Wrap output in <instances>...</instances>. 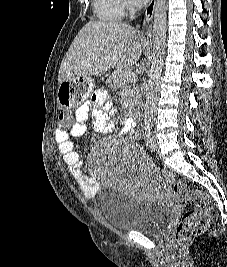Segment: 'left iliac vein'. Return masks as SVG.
Returning a JSON list of instances; mask_svg holds the SVG:
<instances>
[{
	"instance_id": "4c4485c4",
	"label": "left iliac vein",
	"mask_w": 227,
	"mask_h": 267,
	"mask_svg": "<svg viewBox=\"0 0 227 267\" xmlns=\"http://www.w3.org/2000/svg\"><path fill=\"white\" fill-rule=\"evenodd\" d=\"M151 139L153 141V148L154 149H157L158 148V144H157V141H156V138L154 135L151 134Z\"/></svg>"
}]
</instances>
